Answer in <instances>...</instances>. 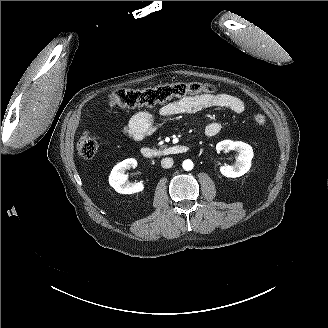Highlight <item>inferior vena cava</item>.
Returning <instances> with one entry per match:
<instances>
[{"label":"inferior vena cava","mask_w":328,"mask_h":328,"mask_svg":"<svg viewBox=\"0 0 328 328\" xmlns=\"http://www.w3.org/2000/svg\"><path fill=\"white\" fill-rule=\"evenodd\" d=\"M173 159L172 158H163L162 160H161V166L163 167V168H171L172 167V165H173Z\"/></svg>","instance_id":"1"}]
</instances>
